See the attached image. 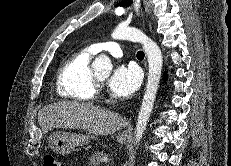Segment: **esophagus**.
<instances>
[{"label":"esophagus","mask_w":231,"mask_h":166,"mask_svg":"<svg viewBox=\"0 0 231 166\" xmlns=\"http://www.w3.org/2000/svg\"><path fill=\"white\" fill-rule=\"evenodd\" d=\"M143 1H144L146 12H147L148 16H150V14H151L150 2H149V0H143Z\"/></svg>","instance_id":"obj_1"}]
</instances>
